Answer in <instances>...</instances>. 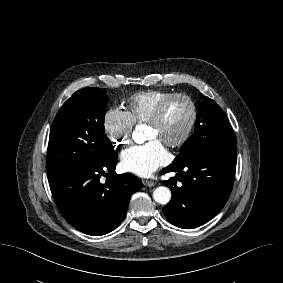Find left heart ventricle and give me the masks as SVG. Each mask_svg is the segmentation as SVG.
I'll return each mask as SVG.
<instances>
[{
    "instance_id": "1",
    "label": "left heart ventricle",
    "mask_w": 283,
    "mask_h": 283,
    "mask_svg": "<svg viewBox=\"0 0 283 283\" xmlns=\"http://www.w3.org/2000/svg\"><path fill=\"white\" fill-rule=\"evenodd\" d=\"M189 117L190 109L187 102L181 99L174 100L167 107L158 126L147 125L146 140L157 139L164 143L179 138L187 126Z\"/></svg>"
}]
</instances>
